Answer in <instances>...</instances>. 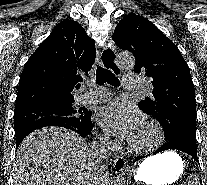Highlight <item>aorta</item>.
<instances>
[{"instance_id": "762f6f07", "label": "aorta", "mask_w": 207, "mask_h": 185, "mask_svg": "<svg viewBox=\"0 0 207 185\" xmlns=\"http://www.w3.org/2000/svg\"><path fill=\"white\" fill-rule=\"evenodd\" d=\"M117 63L123 69H131L135 65V58L131 53L123 52L118 54ZM128 181L124 174H121L114 181V185H127Z\"/></svg>"}]
</instances>
